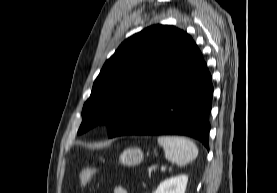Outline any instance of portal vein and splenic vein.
Wrapping results in <instances>:
<instances>
[{
    "label": "portal vein and splenic vein",
    "mask_w": 277,
    "mask_h": 193,
    "mask_svg": "<svg viewBox=\"0 0 277 193\" xmlns=\"http://www.w3.org/2000/svg\"><path fill=\"white\" fill-rule=\"evenodd\" d=\"M165 170H166V167H165V166H162V167H161V171H165ZM148 174L150 175V174H151V171H149Z\"/></svg>",
    "instance_id": "portal-vein-and-splenic-vein-1"
}]
</instances>
